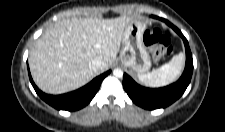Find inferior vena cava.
Here are the masks:
<instances>
[{
	"label": "inferior vena cava",
	"instance_id": "602c4592",
	"mask_svg": "<svg viewBox=\"0 0 225 132\" xmlns=\"http://www.w3.org/2000/svg\"><path fill=\"white\" fill-rule=\"evenodd\" d=\"M104 67H105L104 62L99 58L92 60V62L89 64V68L96 73L103 72Z\"/></svg>",
	"mask_w": 225,
	"mask_h": 132
}]
</instances>
